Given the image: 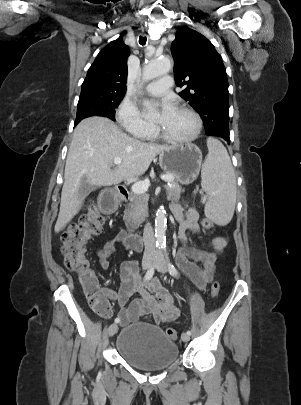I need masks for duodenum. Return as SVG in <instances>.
I'll return each instance as SVG.
<instances>
[{"label":"duodenum","mask_w":301,"mask_h":405,"mask_svg":"<svg viewBox=\"0 0 301 405\" xmlns=\"http://www.w3.org/2000/svg\"><path fill=\"white\" fill-rule=\"evenodd\" d=\"M128 197V190L121 186L118 190H104L97 198V208L99 213H116L119 206H123L124 199ZM127 248L140 251L143 248V238L136 233H127L124 238Z\"/></svg>","instance_id":"obj_1"}]
</instances>
